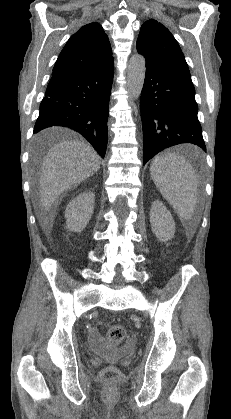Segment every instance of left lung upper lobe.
I'll use <instances>...</instances> for the list:
<instances>
[{"label": "left lung upper lobe", "instance_id": "5c2ea615", "mask_svg": "<svg viewBox=\"0 0 231 419\" xmlns=\"http://www.w3.org/2000/svg\"><path fill=\"white\" fill-rule=\"evenodd\" d=\"M137 51L146 59V67L190 76L183 52L170 31L156 20L142 26Z\"/></svg>", "mask_w": 231, "mask_h": 419}]
</instances>
